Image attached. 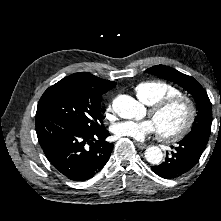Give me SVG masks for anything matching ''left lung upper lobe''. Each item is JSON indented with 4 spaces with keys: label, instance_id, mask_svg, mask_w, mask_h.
I'll list each match as a JSON object with an SVG mask.
<instances>
[{
    "label": "left lung upper lobe",
    "instance_id": "5c2ea615",
    "mask_svg": "<svg viewBox=\"0 0 221 221\" xmlns=\"http://www.w3.org/2000/svg\"><path fill=\"white\" fill-rule=\"evenodd\" d=\"M146 73L156 75L160 78L175 82L187 90L195 99L197 116L192 130L189 134L198 131H210L212 124V106L209 97L203 87L191 76L185 75L169 66L156 65L147 70Z\"/></svg>",
    "mask_w": 221,
    "mask_h": 221
}]
</instances>
